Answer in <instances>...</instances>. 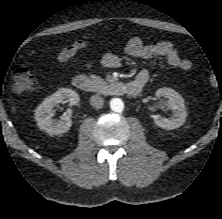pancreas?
Instances as JSON below:
<instances>
[{
	"label": "pancreas",
	"mask_w": 222,
	"mask_h": 219,
	"mask_svg": "<svg viewBox=\"0 0 222 219\" xmlns=\"http://www.w3.org/2000/svg\"><path fill=\"white\" fill-rule=\"evenodd\" d=\"M90 79L92 91H99L103 86L106 85V82L99 76L90 75Z\"/></svg>",
	"instance_id": "pancreas-1"
}]
</instances>
